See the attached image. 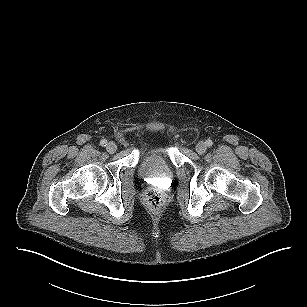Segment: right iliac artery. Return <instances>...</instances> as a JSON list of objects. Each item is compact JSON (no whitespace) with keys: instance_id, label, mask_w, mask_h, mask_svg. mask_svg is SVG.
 <instances>
[{"instance_id":"82829eb1","label":"right iliac artery","mask_w":307,"mask_h":307,"mask_svg":"<svg viewBox=\"0 0 307 307\" xmlns=\"http://www.w3.org/2000/svg\"><path fill=\"white\" fill-rule=\"evenodd\" d=\"M101 146H106L107 145V140L103 139L100 141Z\"/></svg>"}]
</instances>
